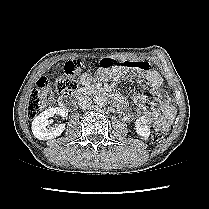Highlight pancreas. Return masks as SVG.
<instances>
[{
	"label": "pancreas",
	"instance_id": "pancreas-1",
	"mask_svg": "<svg viewBox=\"0 0 209 209\" xmlns=\"http://www.w3.org/2000/svg\"><path fill=\"white\" fill-rule=\"evenodd\" d=\"M88 90L90 92H96V87L95 86H92V87L88 88Z\"/></svg>",
	"mask_w": 209,
	"mask_h": 209
}]
</instances>
